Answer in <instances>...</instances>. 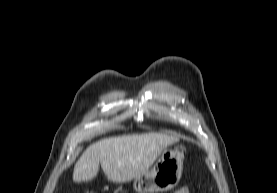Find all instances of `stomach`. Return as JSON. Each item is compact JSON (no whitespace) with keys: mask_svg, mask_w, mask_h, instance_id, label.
Masks as SVG:
<instances>
[{"mask_svg":"<svg viewBox=\"0 0 277 193\" xmlns=\"http://www.w3.org/2000/svg\"><path fill=\"white\" fill-rule=\"evenodd\" d=\"M184 156L176 149H165L151 170L134 180L138 193H159L172 190L179 182Z\"/></svg>","mask_w":277,"mask_h":193,"instance_id":"1","label":"stomach"}]
</instances>
